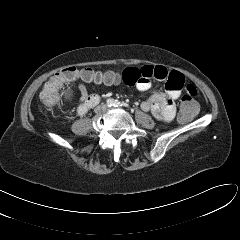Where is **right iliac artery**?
Returning <instances> with one entry per match:
<instances>
[{
    "instance_id": "82829eb1",
    "label": "right iliac artery",
    "mask_w": 240,
    "mask_h": 240,
    "mask_svg": "<svg viewBox=\"0 0 240 240\" xmlns=\"http://www.w3.org/2000/svg\"><path fill=\"white\" fill-rule=\"evenodd\" d=\"M113 104H114L113 99H108V100H107V105H108V106H112Z\"/></svg>"
}]
</instances>
